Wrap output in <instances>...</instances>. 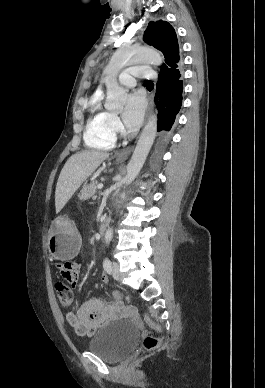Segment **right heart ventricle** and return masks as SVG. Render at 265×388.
Segmentation results:
<instances>
[{
    "instance_id": "e07e8e85",
    "label": "right heart ventricle",
    "mask_w": 265,
    "mask_h": 388,
    "mask_svg": "<svg viewBox=\"0 0 265 388\" xmlns=\"http://www.w3.org/2000/svg\"><path fill=\"white\" fill-rule=\"evenodd\" d=\"M105 91H98L91 101V114L84 134L85 141L97 149H112L116 143L115 134L109 128V119L112 115L102 106Z\"/></svg>"
}]
</instances>
